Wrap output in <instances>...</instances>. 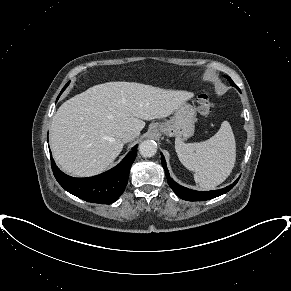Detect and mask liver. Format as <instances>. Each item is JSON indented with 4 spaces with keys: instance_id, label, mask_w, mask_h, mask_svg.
Wrapping results in <instances>:
<instances>
[{
    "instance_id": "1",
    "label": "liver",
    "mask_w": 291,
    "mask_h": 291,
    "mask_svg": "<svg viewBox=\"0 0 291 291\" xmlns=\"http://www.w3.org/2000/svg\"><path fill=\"white\" fill-rule=\"evenodd\" d=\"M193 97L134 82H108L64 102L53 116L50 147L67 174L89 177L106 170L123 149L121 136L140 134L143 120L165 118Z\"/></svg>"
}]
</instances>
